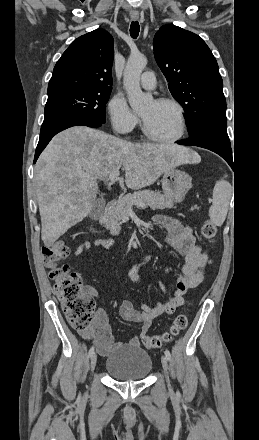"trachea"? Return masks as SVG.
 <instances>
[{
  "instance_id": "1",
  "label": "trachea",
  "mask_w": 259,
  "mask_h": 440,
  "mask_svg": "<svg viewBox=\"0 0 259 440\" xmlns=\"http://www.w3.org/2000/svg\"><path fill=\"white\" fill-rule=\"evenodd\" d=\"M140 26L138 21H133L130 25V35L133 39H136L139 35Z\"/></svg>"
}]
</instances>
